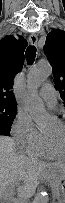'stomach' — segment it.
<instances>
[{
    "mask_svg": "<svg viewBox=\"0 0 65 203\" xmlns=\"http://www.w3.org/2000/svg\"><path fill=\"white\" fill-rule=\"evenodd\" d=\"M48 181L52 187L53 194L59 199L58 203H65V169H49Z\"/></svg>",
    "mask_w": 65,
    "mask_h": 203,
    "instance_id": "obj_1",
    "label": "stomach"
}]
</instances>
